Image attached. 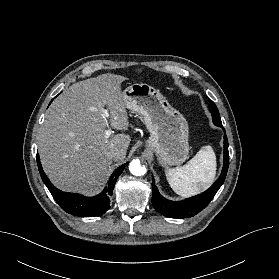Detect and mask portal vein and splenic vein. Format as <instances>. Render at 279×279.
I'll use <instances>...</instances> for the list:
<instances>
[{
  "mask_svg": "<svg viewBox=\"0 0 279 279\" xmlns=\"http://www.w3.org/2000/svg\"><path fill=\"white\" fill-rule=\"evenodd\" d=\"M102 112H103L105 117H109L108 110L102 109ZM111 134H112V130L111 129H108V130L105 131V137L106 138H109Z\"/></svg>",
  "mask_w": 279,
  "mask_h": 279,
  "instance_id": "1",
  "label": "portal vein and splenic vein"
}]
</instances>
